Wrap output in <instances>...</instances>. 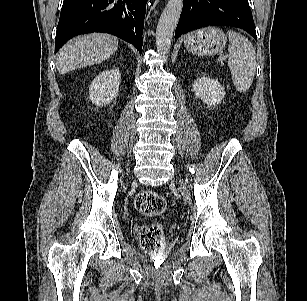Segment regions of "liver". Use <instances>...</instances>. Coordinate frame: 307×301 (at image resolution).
<instances>
[{"label": "liver", "mask_w": 307, "mask_h": 301, "mask_svg": "<svg viewBox=\"0 0 307 301\" xmlns=\"http://www.w3.org/2000/svg\"><path fill=\"white\" fill-rule=\"evenodd\" d=\"M117 47L118 39L105 33L76 37L59 50L57 70L60 74H65L77 68L100 63L111 57Z\"/></svg>", "instance_id": "liver-1"}]
</instances>
